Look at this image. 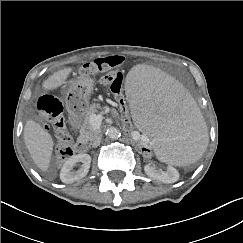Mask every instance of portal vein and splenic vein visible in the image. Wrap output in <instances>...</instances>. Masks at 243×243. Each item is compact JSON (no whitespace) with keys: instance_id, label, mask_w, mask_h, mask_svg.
I'll list each match as a JSON object with an SVG mask.
<instances>
[{"instance_id":"1","label":"portal vein and splenic vein","mask_w":243,"mask_h":243,"mask_svg":"<svg viewBox=\"0 0 243 243\" xmlns=\"http://www.w3.org/2000/svg\"><path fill=\"white\" fill-rule=\"evenodd\" d=\"M91 124L94 128H99L101 121H102V115L93 114L90 118Z\"/></svg>"}]
</instances>
